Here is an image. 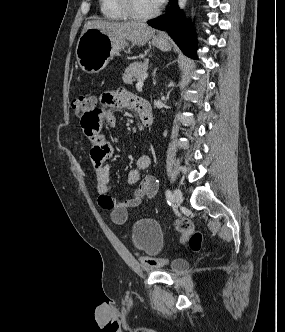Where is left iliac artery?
Listing matches in <instances>:
<instances>
[{
    "label": "left iliac artery",
    "instance_id": "obj_1",
    "mask_svg": "<svg viewBox=\"0 0 285 332\" xmlns=\"http://www.w3.org/2000/svg\"><path fill=\"white\" fill-rule=\"evenodd\" d=\"M166 199H167V202L169 205H172L173 204V196L171 194V191L170 190H166Z\"/></svg>",
    "mask_w": 285,
    "mask_h": 332
}]
</instances>
